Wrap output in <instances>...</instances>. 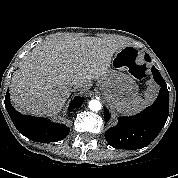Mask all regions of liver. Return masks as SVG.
Returning <instances> with one entry per match:
<instances>
[{
  "label": "liver",
  "instance_id": "liver-1",
  "mask_svg": "<svg viewBox=\"0 0 178 178\" xmlns=\"http://www.w3.org/2000/svg\"><path fill=\"white\" fill-rule=\"evenodd\" d=\"M124 45L114 39L57 37L32 49L12 76L10 94L19 111L59 113L74 91H87L106 74L114 54Z\"/></svg>",
  "mask_w": 178,
  "mask_h": 178
}]
</instances>
